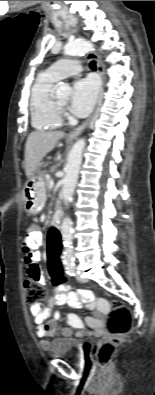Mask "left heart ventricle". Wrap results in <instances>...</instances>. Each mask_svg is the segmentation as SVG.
I'll return each instance as SVG.
<instances>
[{
  "label": "left heart ventricle",
  "mask_w": 155,
  "mask_h": 395,
  "mask_svg": "<svg viewBox=\"0 0 155 395\" xmlns=\"http://www.w3.org/2000/svg\"><path fill=\"white\" fill-rule=\"evenodd\" d=\"M56 100H57L61 105L64 106V105L67 104L68 98H67L66 96H64V97H57Z\"/></svg>",
  "instance_id": "b2bd125f"
}]
</instances>
